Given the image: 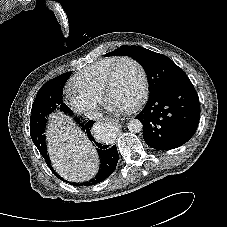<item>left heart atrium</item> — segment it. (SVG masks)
<instances>
[{
  "label": "left heart atrium",
  "instance_id": "1",
  "mask_svg": "<svg viewBox=\"0 0 227 227\" xmlns=\"http://www.w3.org/2000/svg\"><path fill=\"white\" fill-rule=\"evenodd\" d=\"M129 107L130 106H123V105H117V104H109V109L112 112H115V113H122V112L128 110Z\"/></svg>",
  "mask_w": 227,
  "mask_h": 227
}]
</instances>
